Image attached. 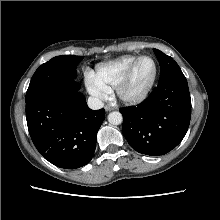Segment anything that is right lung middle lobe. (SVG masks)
<instances>
[{
	"label": "right lung middle lobe",
	"mask_w": 220,
	"mask_h": 220,
	"mask_svg": "<svg viewBox=\"0 0 220 220\" xmlns=\"http://www.w3.org/2000/svg\"><path fill=\"white\" fill-rule=\"evenodd\" d=\"M83 56L62 55L42 64L32 76L26 93V102L47 93L68 92L75 90L73 79L77 65Z\"/></svg>",
	"instance_id": "1"
}]
</instances>
